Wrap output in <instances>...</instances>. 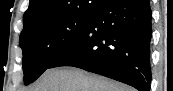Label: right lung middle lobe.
I'll list each match as a JSON object with an SVG mask.
<instances>
[{"instance_id": "1", "label": "right lung middle lobe", "mask_w": 173, "mask_h": 91, "mask_svg": "<svg viewBox=\"0 0 173 91\" xmlns=\"http://www.w3.org/2000/svg\"><path fill=\"white\" fill-rule=\"evenodd\" d=\"M101 2V1H97ZM94 10L51 18L24 28L20 35L24 83L36 80L91 23Z\"/></svg>"}]
</instances>
